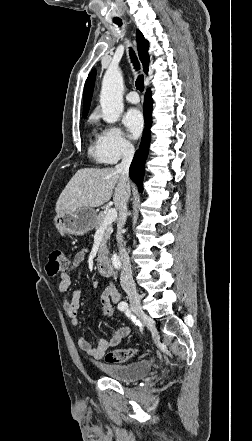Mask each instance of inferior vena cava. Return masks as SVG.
<instances>
[{
	"mask_svg": "<svg viewBox=\"0 0 252 441\" xmlns=\"http://www.w3.org/2000/svg\"><path fill=\"white\" fill-rule=\"evenodd\" d=\"M135 149L133 146H127L123 152L122 162L115 166V170L120 174L124 183V194L118 206L119 218L117 223V242L119 247V255L122 265L120 276L121 286L126 291L134 292L135 284L132 277L131 263L129 256L123 244L122 229L127 218V201L129 197V167L133 159Z\"/></svg>",
	"mask_w": 252,
	"mask_h": 441,
	"instance_id": "1",
	"label": "inferior vena cava"
}]
</instances>
